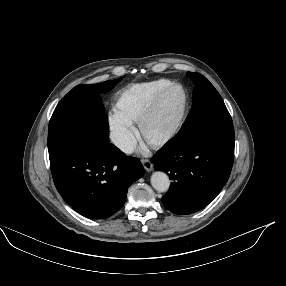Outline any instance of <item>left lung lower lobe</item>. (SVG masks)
Returning <instances> with one entry per match:
<instances>
[{"mask_svg": "<svg viewBox=\"0 0 286 286\" xmlns=\"http://www.w3.org/2000/svg\"><path fill=\"white\" fill-rule=\"evenodd\" d=\"M154 168L173 180L162 198L175 214H191L208 205L228 181L234 161V135H209L186 143L170 141L153 159Z\"/></svg>", "mask_w": 286, "mask_h": 286, "instance_id": "1", "label": "left lung lower lobe"}]
</instances>
